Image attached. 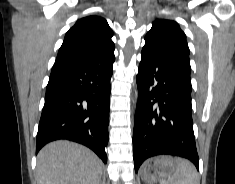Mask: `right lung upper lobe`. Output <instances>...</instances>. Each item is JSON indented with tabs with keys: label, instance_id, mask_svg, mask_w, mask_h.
Listing matches in <instances>:
<instances>
[{
	"label": "right lung upper lobe",
	"instance_id": "cb5924a9",
	"mask_svg": "<svg viewBox=\"0 0 235 184\" xmlns=\"http://www.w3.org/2000/svg\"><path fill=\"white\" fill-rule=\"evenodd\" d=\"M113 32L97 15L78 20L66 33L55 63H100L115 59Z\"/></svg>",
	"mask_w": 235,
	"mask_h": 184
}]
</instances>
